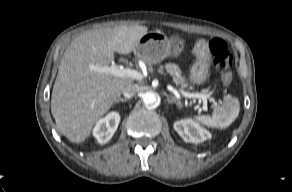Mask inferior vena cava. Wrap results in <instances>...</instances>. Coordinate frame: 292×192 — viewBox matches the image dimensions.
Masks as SVG:
<instances>
[{
  "instance_id": "obj_1",
  "label": "inferior vena cava",
  "mask_w": 292,
  "mask_h": 192,
  "mask_svg": "<svg viewBox=\"0 0 292 192\" xmlns=\"http://www.w3.org/2000/svg\"><path fill=\"white\" fill-rule=\"evenodd\" d=\"M139 91V88L136 84H128L126 85V87L123 89V95L125 98H131L134 95H136V93Z\"/></svg>"
}]
</instances>
